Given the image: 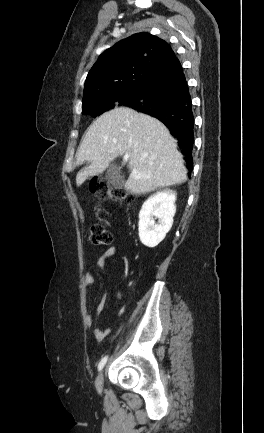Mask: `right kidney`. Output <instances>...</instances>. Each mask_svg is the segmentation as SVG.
Returning a JSON list of instances; mask_svg holds the SVG:
<instances>
[{"mask_svg":"<svg viewBox=\"0 0 264 433\" xmlns=\"http://www.w3.org/2000/svg\"><path fill=\"white\" fill-rule=\"evenodd\" d=\"M176 193L166 189L150 196L139 212V238L147 247L157 246L170 231L176 212ZM158 218V223L154 221Z\"/></svg>","mask_w":264,"mask_h":433,"instance_id":"obj_1","label":"right kidney"}]
</instances>
